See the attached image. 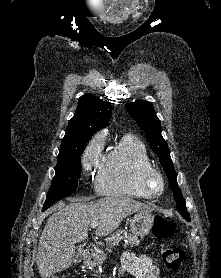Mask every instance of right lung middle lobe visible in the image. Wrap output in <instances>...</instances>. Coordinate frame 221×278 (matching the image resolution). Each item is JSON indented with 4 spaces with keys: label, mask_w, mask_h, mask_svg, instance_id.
Instances as JSON below:
<instances>
[{
    "label": "right lung middle lobe",
    "mask_w": 221,
    "mask_h": 278,
    "mask_svg": "<svg viewBox=\"0 0 221 278\" xmlns=\"http://www.w3.org/2000/svg\"><path fill=\"white\" fill-rule=\"evenodd\" d=\"M87 143L60 151L57 157L56 174L46 197L43 210L74 192L81 174L80 156Z\"/></svg>",
    "instance_id": "right-lung-middle-lobe-1"
}]
</instances>
